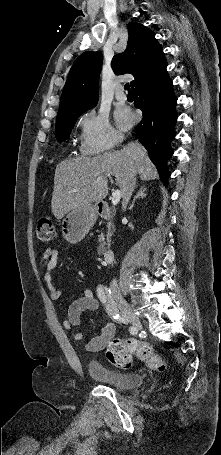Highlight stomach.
I'll return each mask as SVG.
<instances>
[{
	"label": "stomach",
	"mask_w": 221,
	"mask_h": 455,
	"mask_svg": "<svg viewBox=\"0 0 221 455\" xmlns=\"http://www.w3.org/2000/svg\"><path fill=\"white\" fill-rule=\"evenodd\" d=\"M97 219L96 206L80 205L70 210L61 223L63 238L70 244L79 243Z\"/></svg>",
	"instance_id": "0dacf381"
}]
</instances>
